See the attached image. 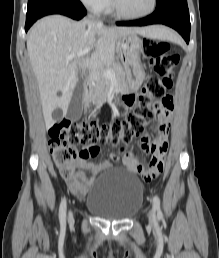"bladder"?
I'll list each match as a JSON object with an SVG mask.
<instances>
[{
  "instance_id": "bladder-1",
  "label": "bladder",
  "mask_w": 219,
  "mask_h": 258,
  "mask_svg": "<svg viewBox=\"0 0 219 258\" xmlns=\"http://www.w3.org/2000/svg\"><path fill=\"white\" fill-rule=\"evenodd\" d=\"M143 194L144 187L137 175L126 169H112L94 180L84 204L99 217L123 220L140 208Z\"/></svg>"
}]
</instances>
